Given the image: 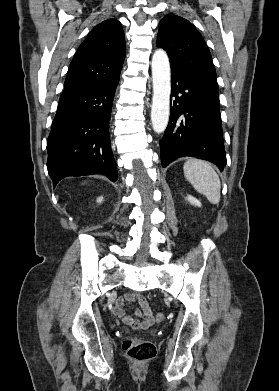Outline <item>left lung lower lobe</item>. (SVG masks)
Returning a JSON list of instances; mask_svg holds the SVG:
<instances>
[{
    "label": "left lung lower lobe",
    "mask_w": 279,
    "mask_h": 391,
    "mask_svg": "<svg viewBox=\"0 0 279 391\" xmlns=\"http://www.w3.org/2000/svg\"><path fill=\"white\" fill-rule=\"evenodd\" d=\"M170 120L160 141L161 162L166 167L182 156L226 165L219 93L202 82L171 70Z\"/></svg>",
    "instance_id": "0a47b994"
}]
</instances>
